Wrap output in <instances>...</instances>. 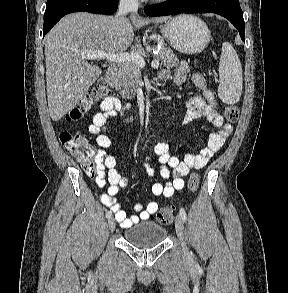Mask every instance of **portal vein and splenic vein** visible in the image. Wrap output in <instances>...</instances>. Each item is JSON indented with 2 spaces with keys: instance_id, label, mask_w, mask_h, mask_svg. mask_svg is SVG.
<instances>
[{
  "instance_id": "portal-vein-and-splenic-vein-1",
  "label": "portal vein and splenic vein",
  "mask_w": 288,
  "mask_h": 293,
  "mask_svg": "<svg viewBox=\"0 0 288 293\" xmlns=\"http://www.w3.org/2000/svg\"><path fill=\"white\" fill-rule=\"evenodd\" d=\"M81 55L83 58H86L87 60L103 59V60L118 62V63L133 62L139 67L145 66L144 58L141 56V54L136 52L108 54V53H105L104 51H91V52L88 51V52H83ZM152 66L158 67L159 60L154 59L152 61Z\"/></svg>"
}]
</instances>
